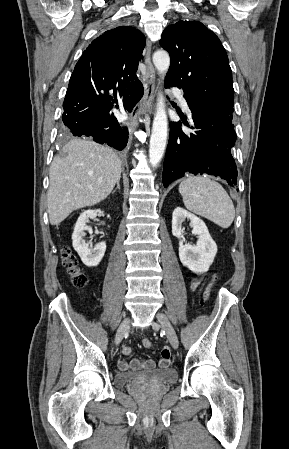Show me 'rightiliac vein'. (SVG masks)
<instances>
[{
	"label": "right iliac vein",
	"instance_id": "obj_1",
	"mask_svg": "<svg viewBox=\"0 0 289 449\" xmlns=\"http://www.w3.org/2000/svg\"><path fill=\"white\" fill-rule=\"evenodd\" d=\"M129 323H130V319L126 318L119 326L117 333H116V338H115L116 345H119L120 342L122 341L125 333L127 332L128 328H129Z\"/></svg>",
	"mask_w": 289,
	"mask_h": 449
}]
</instances>
